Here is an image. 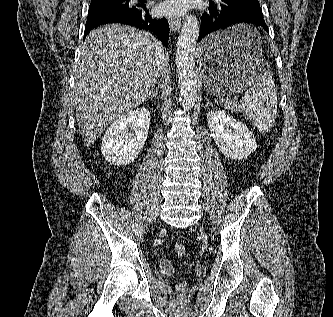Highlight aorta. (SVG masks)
Listing matches in <instances>:
<instances>
[{
    "instance_id": "762f6f07",
    "label": "aorta",
    "mask_w": 333,
    "mask_h": 317,
    "mask_svg": "<svg viewBox=\"0 0 333 317\" xmlns=\"http://www.w3.org/2000/svg\"><path fill=\"white\" fill-rule=\"evenodd\" d=\"M198 36V19L190 15L183 23L176 49V67L184 110L193 107L197 96L194 54Z\"/></svg>"
}]
</instances>
